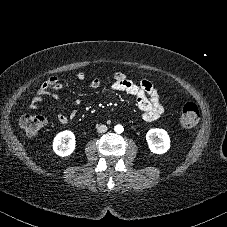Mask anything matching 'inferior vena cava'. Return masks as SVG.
<instances>
[{"instance_id":"602c4592","label":"inferior vena cava","mask_w":227,"mask_h":227,"mask_svg":"<svg viewBox=\"0 0 227 227\" xmlns=\"http://www.w3.org/2000/svg\"><path fill=\"white\" fill-rule=\"evenodd\" d=\"M108 130L107 126L106 125H99L98 128H97V131L99 133H104Z\"/></svg>"}]
</instances>
